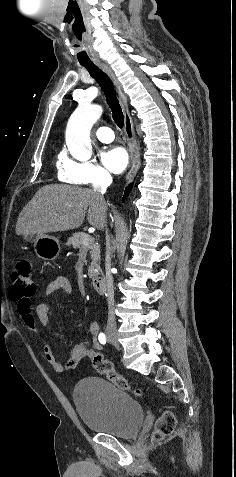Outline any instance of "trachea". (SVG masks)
<instances>
[{"label": "trachea", "instance_id": "3493384b", "mask_svg": "<svg viewBox=\"0 0 236 477\" xmlns=\"http://www.w3.org/2000/svg\"><path fill=\"white\" fill-rule=\"evenodd\" d=\"M83 67L87 69L89 74L97 81V83L101 86L105 97L107 104L109 105L111 111H112V116L113 120L116 123V125L119 128H123L124 125V116L122 113L121 106L116 98L113 85L108 78V76L100 70L96 65L93 63H81Z\"/></svg>", "mask_w": 236, "mask_h": 477}]
</instances>
